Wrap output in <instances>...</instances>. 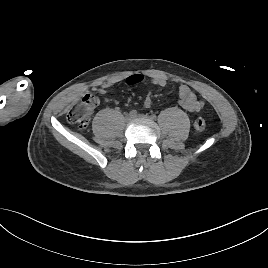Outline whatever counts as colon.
Returning a JSON list of instances; mask_svg holds the SVG:
<instances>
[{
    "label": "colon",
    "mask_w": 268,
    "mask_h": 268,
    "mask_svg": "<svg viewBox=\"0 0 268 268\" xmlns=\"http://www.w3.org/2000/svg\"><path fill=\"white\" fill-rule=\"evenodd\" d=\"M98 103V97L94 93L86 92L79 102L68 108L67 120L81 129L86 128ZM193 127L197 132H203L206 128V122L203 118H197Z\"/></svg>",
    "instance_id": "5ec220e1"
}]
</instances>
